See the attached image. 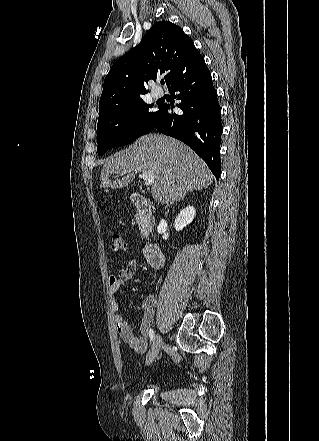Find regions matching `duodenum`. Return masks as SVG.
<instances>
[{"instance_id":"duodenum-1","label":"duodenum","mask_w":319,"mask_h":441,"mask_svg":"<svg viewBox=\"0 0 319 441\" xmlns=\"http://www.w3.org/2000/svg\"><path fill=\"white\" fill-rule=\"evenodd\" d=\"M131 203L141 212L144 216L149 217L152 213V205L148 199L140 194L134 193L131 195ZM144 256L147 262L153 268H161L164 265L165 257L162 250L154 245L147 244L144 248Z\"/></svg>"}]
</instances>
